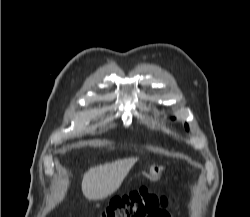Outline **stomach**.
<instances>
[{"label": "stomach", "mask_w": 250, "mask_h": 217, "mask_svg": "<svg viewBox=\"0 0 250 217\" xmlns=\"http://www.w3.org/2000/svg\"><path fill=\"white\" fill-rule=\"evenodd\" d=\"M159 173H160V168H159V167L152 166V167L150 168V174H151L152 176H157Z\"/></svg>", "instance_id": "obj_1"}]
</instances>
